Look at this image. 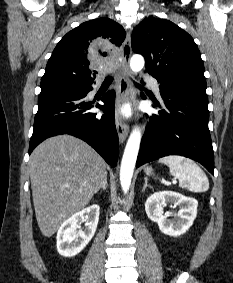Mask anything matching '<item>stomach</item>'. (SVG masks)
<instances>
[{
  "label": "stomach",
  "mask_w": 233,
  "mask_h": 283,
  "mask_svg": "<svg viewBox=\"0 0 233 283\" xmlns=\"http://www.w3.org/2000/svg\"><path fill=\"white\" fill-rule=\"evenodd\" d=\"M145 173H146L147 175H151V174L153 173L152 168H151V167H146V168H145Z\"/></svg>",
  "instance_id": "obj_1"
}]
</instances>
